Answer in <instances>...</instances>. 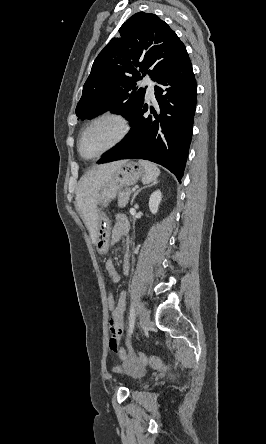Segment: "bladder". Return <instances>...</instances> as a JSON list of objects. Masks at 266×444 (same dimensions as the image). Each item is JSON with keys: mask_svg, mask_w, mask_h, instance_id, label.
I'll return each instance as SVG.
<instances>
[{"mask_svg": "<svg viewBox=\"0 0 266 444\" xmlns=\"http://www.w3.org/2000/svg\"><path fill=\"white\" fill-rule=\"evenodd\" d=\"M142 388L144 389V388H146V386H145V385H143V386H142Z\"/></svg>", "mask_w": 266, "mask_h": 444, "instance_id": "obj_1", "label": "bladder"}]
</instances>
